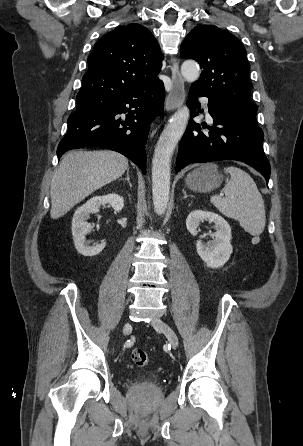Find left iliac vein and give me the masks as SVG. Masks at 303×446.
<instances>
[{"label": "left iliac vein", "instance_id": "obj_1", "mask_svg": "<svg viewBox=\"0 0 303 446\" xmlns=\"http://www.w3.org/2000/svg\"><path fill=\"white\" fill-rule=\"evenodd\" d=\"M152 326L156 329L159 330L160 332H162L168 339L169 343L173 346V347H177L178 346V337L176 335V333L174 332V330L164 321H162L161 319H154L151 322Z\"/></svg>", "mask_w": 303, "mask_h": 446}]
</instances>
